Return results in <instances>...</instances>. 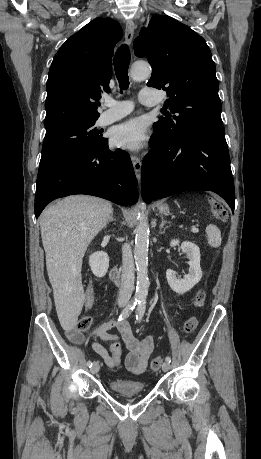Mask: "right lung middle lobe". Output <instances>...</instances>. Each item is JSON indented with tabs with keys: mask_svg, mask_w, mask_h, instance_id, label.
Here are the masks:
<instances>
[{
	"mask_svg": "<svg viewBox=\"0 0 261 459\" xmlns=\"http://www.w3.org/2000/svg\"><path fill=\"white\" fill-rule=\"evenodd\" d=\"M94 120H69L46 127L39 170L72 154L101 146L106 138L94 128Z\"/></svg>",
	"mask_w": 261,
	"mask_h": 459,
	"instance_id": "dd1d6c3e",
	"label": "right lung middle lobe"
}]
</instances>
